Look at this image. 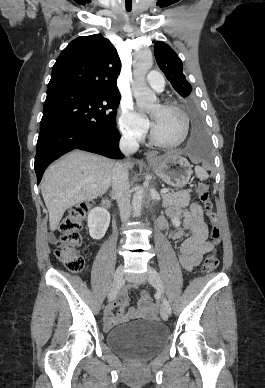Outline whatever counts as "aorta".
Returning a JSON list of instances; mask_svg holds the SVG:
<instances>
[{"mask_svg":"<svg viewBox=\"0 0 265 388\" xmlns=\"http://www.w3.org/2000/svg\"><path fill=\"white\" fill-rule=\"evenodd\" d=\"M153 56L150 50L139 51L136 54L133 64L134 68V82L132 90L137 100V104L144 108H149L156 101L155 93L147 86L145 76L148 70L152 67ZM144 196V189L138 188L133 196L132 206L137 215H140L142 209V201Z\"/></svg>","mask_w":265,"mask_h":388,"instance_id":"1","label":"aorta"}]
</instances>
